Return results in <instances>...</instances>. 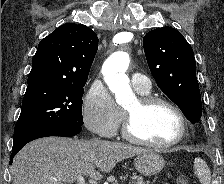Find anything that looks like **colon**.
Here are the masks:
<instances>
[{
    "label": "colon",
    "instance_id": "obj_1",
    "mask_svg": "<svg viewBox=\"0 0 224 184\" xmlns=\"http://www.w3.org/2000/svg\"><path fill=\"white\" fill-rule=\"evenodd\" d=\"M177 184H191L189 178L184 173H178Z\"/></svg>",
    "mask_w": 224,
    "mask_h": 184
}]
</instances>
